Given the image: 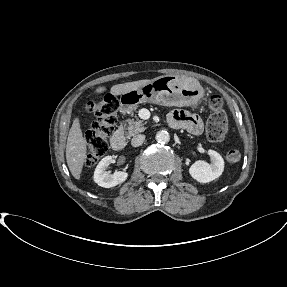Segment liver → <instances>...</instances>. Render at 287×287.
I'll return each mask as SVG.
<instances>
[{"label": "liver", "instance_id": "obj_1", "mask_svg": "<svg viewBox=\"0 0 287 287\" xmlns=\"http://www.w3.org/2000/svg\"><path fill=\"white\" fill-rule=\"evenodd\" d=\"M152 80H138L134 82H127L123 84H117L112 86L110 93L114 96L121 95L124 92L139 89L143 85L151 82ZM106 91V87L100 86L94 92L103 93ZM87 143L83 137V133L80 127L79 118H75L70 128L67 144H66V160L69 170L73 177L77 180L80 179L82 168L87 158Z\"/></svg>", "mask_w": 287, "mask_h": 287}]
</instances>
